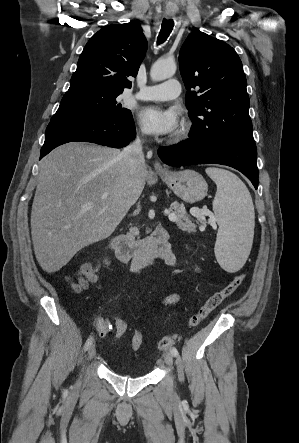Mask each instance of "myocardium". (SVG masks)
I'll return each instance as SVG.
<instances>
[{"label": "myocardium", "mask_w": 299, "mask_h": 443, "mask_svg": "<svg viewBox=\"0 0 299 443\" xmlns=\"http://www.w3.org/2000/svg\"><path fill=\"white\" fill-rule=\"evenodd\" d=\"M193 131V126L190 122H185L177 135L174 138L175 142H183L190 138Z\"/></svg>", "instance_id": "obj_1"}]
</instances>
